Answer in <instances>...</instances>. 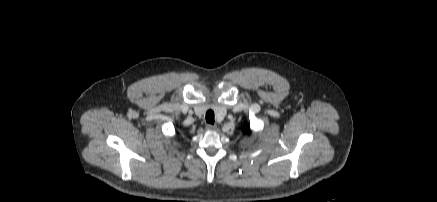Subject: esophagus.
Instances as JSON below:
<instances>
[{
    "instance_id": "esophagus-1",
    "label": "esophagus",
    "mask_w": 437,
    "mask_h": 202,
    "mask_svg": "<svg viewBox=\"0 0 437 202\" xmlns=\"http://www.w3.org/2000/svg\"><path fill=\"white\" fill-rule=\"evenodd\" d=\"M206 129L209 130V131H213V130L217 129V126L216 125H212V124H207L206 125Z\"/></svg>"
}]
</instances>
